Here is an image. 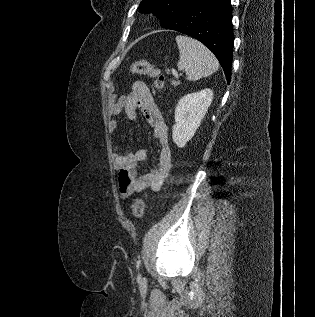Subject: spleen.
<instances>
[{"label": "spleen", "mask_w": 315, "mask_h": 317, "mask_svg": "<svg viewBox=\"0 0 315 317\" xmlns=\"http://www.w3.org/2000/svg\"><path fill=\"white\" fill-rule=\"evenodd\" d=\"M176 42L180 53L177 67L178 70L187 71L189 81H198L218 70L216 57L202 43L183 35H178Z\"/></svg>", "instance_id": "3e777b00"}]
</instances>
